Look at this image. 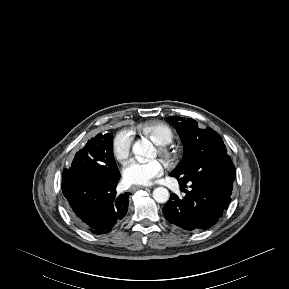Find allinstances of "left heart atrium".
I'll return each instance as SVG.
<instances>
[{"mask_svg":"<svg viewBox=\"0 0 289 289\" xmlns=\"http://www.w3.org/2000/svg\"><path fill=\"white\" fill-rule=\"evenodd\" d=\"M164 172L163 163L158 160L142 162L132 160L123 169L124 180L131 185H149Z\"/></svg>","mask_w":289,"mask_h":289,"instance_id":"obj_1","label":"left heart atrium"}]
</instances>
